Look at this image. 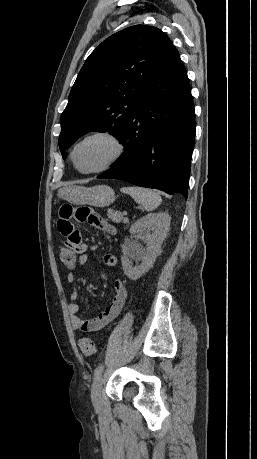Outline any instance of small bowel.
Wrapping results in <instances>:
<instances>
[{
	"label": "small bowel",
	"instance_id": "1",
	"mask_svg": "<svg viewBox=\"0 0 257 459\" xmlns=\"http://www.w3.org/2000/svg\"><path fill=\"white\" fill-rule=\"evenodd\" d=\"M80 226H89L90 229H100L104 232L114 235L116 229L100 218L98 208H92L91 205H61L59 208L58 220L56 227L59 229L60 236H65V245L68 251H74L75 257H78L77 264L83 265L88 260L89 250L96 249V245L88 246L83 244ZM103 262L107 267H115L117 260L113 255H105ZM77 276L71 271L67 274V282L75 284ZM115 296L111 303L99 315L92 319H84L80 305L76 303L79 297L77 288L70 292L71 302L68 304V312L71 319L72 327L82 332H95L112 322L122 311L125 306L128 292L119 279L114 282Z\"/></svg>",
	"mask_w": 257,
	"mask_h": 459
}]
</instances>
